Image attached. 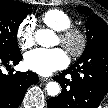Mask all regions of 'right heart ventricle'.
Segmentation results:
<instances>
[{
    "label": "right heart ventricle",
    "instance_id": "obj_1",
    "mask_svg": "<svg viewBox=\"0 0 108 108\" xmlns=\"http://www.w3.org/2000/svg\"><path fill=\"white\" fill-rule=\"evenodd\" d=\"M41 19L47 26L59 32L71 27L73 24L71 16L60 9L46 11Z\"/></svg>",
    "mask_w": 108,
    "mask_h": 108
}]
</instances>
